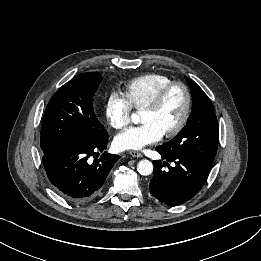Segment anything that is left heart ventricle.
I'll return each mask as SVG.
<instances>
[{
	"instance_id": "obj_1",
	"label": "left heart ventricle",
	"mask_w": 261,
	"mask_h": 261,
	"mask_svg": "<svg viewBox=\"0 0 261 261\" xmlns=\"http://www.w3.org/2000/svg\"><path fill=\"white\" fill-rule=\"evenodd\" d=\"M185 106V95L180 88L173 89L158 112L143 111L142 123H151L163 134L176 126Z\"/></svg>"
}]
</instances>
